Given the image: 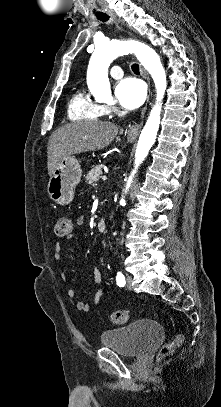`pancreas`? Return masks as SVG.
Here are the masks:
<instances>
[{
	"instance_id": "cf45deb5",
	"label": "pancreas",
	"mask_w": 221,
	"mask_h": 407,
	"mask_svg": "<svg viewBox=\"0 0 221 407\" xmlns=\"http://www.w3.org/2000/svg\"><path fill=\"white\" fill-rule=\"evenodd\" d=\"M102 165H97L94 168H92L88 174L86 175V183L87 184H94L99 181L101 175H102Z\"/></svg>"
}]
</instances>
